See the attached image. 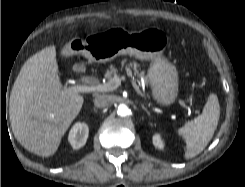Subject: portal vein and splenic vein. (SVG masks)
Wrapping results in <instances>:
<instances>
[{
  "label": "portal vein and splenic vein",
  "mask_w": 245,
  "mask_h": 187,
  "mask_svg": "<svg viewBox=\"0 0 245 187\" xmlns=\"http://www.w3.org/2000/svg\"><path fill=\"white\" fill-rule=\"evenodd\" d=\"M129 75H131V74H129ZM124 80H125L124 76L115 75L109 82L104 83V84H98L95 86L77 85V86L72 87V89L75 92H96V91H98V92H109V91H113V90L117 89L121 85V82ZM130 82H131L132 86L134 87V89L136 90V92L141 95L142 94L141 90H140L139 86L137 85L134 77L130 78ZM179 104L182 107L189 109V106L184 101H179ZM155 109L158 111H161L159 108H155Z\"/></svg>",
  "instance_id": "portal-vein-and-splenic-vein-1"
}]
</instances>
